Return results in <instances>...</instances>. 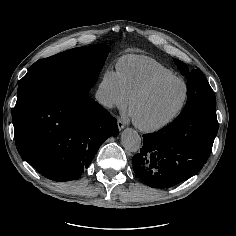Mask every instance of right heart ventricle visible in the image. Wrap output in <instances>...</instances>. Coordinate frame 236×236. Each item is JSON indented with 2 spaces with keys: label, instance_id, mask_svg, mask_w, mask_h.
Segmentation results:
<instances>
[{
  "label": "right heart ventricle",
  "instance_id": "1",
  "mask_svg": "<svg viewBox=\"0 0 236 236\" xmlns=\"http://www.w3.org/2000/svg\"><path fill=\"white\" fill-rule=\"evenodd\" d=\"M117 71L127 93L131 95L152 81L162 76L174 75V72L158 60L146 55H125L116 63Z\"/></svg>",
  "mask_w": 236,
  "mask_h": 236
}]
</instances>
